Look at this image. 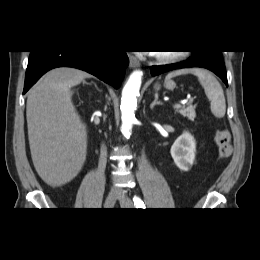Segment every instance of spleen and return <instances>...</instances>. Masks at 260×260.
Segmentation results:
<instances>
[{"label": "spleen", "instance_id": "obj_1", "mask_svg": "<svg viewBox=\"0 0 260 260\" xmlns=\"http://www.w3.org/2000/svg\"><path fill=\"white\" fill-rule=\"evenodd\" d=\"M192 73L198 77L207 98L211 102V112L217 118L224 117L226 113V102L223 89L217 79L207 70L200 68L182 69L173 71L166 76V80L182 74Z\"/></svg>", "mask_w": 260, "mask_h": 260}]
</instances>
